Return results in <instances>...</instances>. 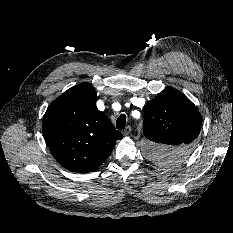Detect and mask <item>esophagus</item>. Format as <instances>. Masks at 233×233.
<instances>
[{"label": "esophagus", "instance_id": "34e87169", "mask_svg": "<svg viewBox=\"0 0 233 233\" xmlns=\"http://www.w3.org/2000/svg\"><path fill=\"white\" fill-rule=\"evenodd\" d=\"M131 127L127 126L124 130H123V135L124 136H128L131 133Z\"/></svg>", "mask_w": 233, "mask_h": 233}]
</instances>
